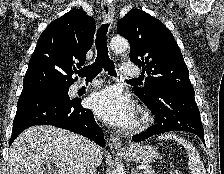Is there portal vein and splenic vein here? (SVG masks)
<instances>
[{
	"instance_id": "portal-vein-and-splenic-vein-1",
	"label": "portal vein and splenic vein",
	"mask_w": 224,
	"mask_h": 174,
	"mask_svg": "<svg viewBox=\"0 0 224 174\" xmlns=\"http://www.w3.org/2000/svg\"><path fill=\"white\" fill-rule=\"evenodd\" d=\"M145 174H155V171L153 169L146 170Z\"/></svg>"
}]
</instances>
